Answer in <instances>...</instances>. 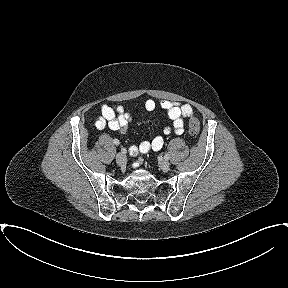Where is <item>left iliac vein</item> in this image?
I'll list each match as a JSON object with an SVG mask.
<instances>
[{
	"mask_svg": "<svg viewBox=\"0 0 288 288\" xmlns=\"http://www.w3.org/2000/svg\"><path fill=\"white\" fill-rule=\"evenodd\" d=\"M169 165H170V163H169L168 159H163L160 162V168L164 171L168 170Z\"/></svg>",
	"mask_w": 288,
	"mask_h": 288,
	"instance_id": "left-iliac-vein-1",
	"label": "left iliac vein"
}]
</instances>
